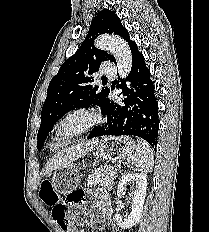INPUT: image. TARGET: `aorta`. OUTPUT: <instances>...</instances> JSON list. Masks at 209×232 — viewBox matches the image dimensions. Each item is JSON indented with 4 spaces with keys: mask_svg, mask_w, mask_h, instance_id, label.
<instances>
[{
    "mask_svg": "<svg viewBox=\"0 0 209 232\" xmlns=\"http://www.w3.org/2000/svg\"><path fill=\"white\" fill-rule=\"evenodd\" d=\"M95 46L110 51L116 58L119 75L122 78L127 77L132 67V55L125 41L115 36L102 35L96 40Z\"/></svg>",
    "mask_w": 209,
    "mask_h": 232,
    "instance_id": "obj_1",
    "label": "aorta"
}]
</instances>
